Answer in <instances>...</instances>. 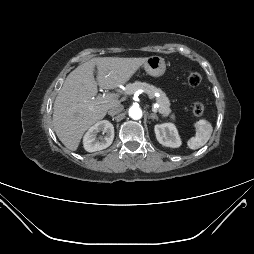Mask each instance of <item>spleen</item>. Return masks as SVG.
Returning <instances> with one entry per match:
<instances>
[{
    "instance_id": "3e777b00",
    "label": "spleen",
    "mask_w": 254,
    "mask_h": 254,
    "mask_svg": "<svg viewBox=\"0 0 254 254\" xmlns=\"http://www.w3.org/2000/svg\"><path fill=\"white\" fill-rule=\"evenodd\" d=\"M195 127V136L190 138L187 142L188 147L192 150H196L204 146L210 139L213 132L211 123L206 119H200L197 121Z\"/></svg>"
}]
</instances>
